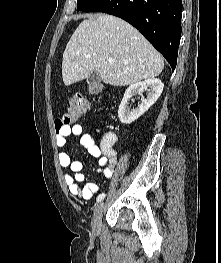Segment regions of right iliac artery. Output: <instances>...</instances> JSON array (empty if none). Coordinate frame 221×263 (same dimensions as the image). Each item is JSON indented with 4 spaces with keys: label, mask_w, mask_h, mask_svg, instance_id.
Segmentation results:
<instances>
[{
    "label": "right iliac artery",
    "mask_w": 221,
    "mask_h": 263,
    "mask_svg": "<svg viewBox=\"0 0 221 263\" xmlns=\"http://www.w3.org/2000/svg\"><path fill=\"white\" fill-rule=\"evenodd\" d=\"M105 196H106L105 193L99 194L98 197H97V202L102 201L105 198Z\"/></svg>",
    "instance_id": "82829eb1"
}]
</instances>
